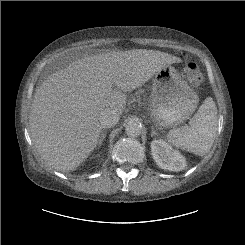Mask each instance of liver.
<instances>
[{
    "label": "liver",
    "instance_id": "1",
    "mask_svg": "<svg viewBox=\"0 0 245 245\" xmlns=\"http://www.w3.org/2000/svg\"><path fill=\"white\" fill-rule=\"evenodd\" d=\"M180 62L156 50L113 51L83 57L48 76L35 92L29 115L41 158L58 171L75 170L99 142L100 112L109 108L122 114L126 92Z\"/></svg>",
    "mask_w": 245,
    "mask_h": 245
}]
</instances>
